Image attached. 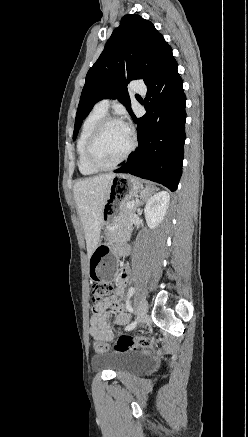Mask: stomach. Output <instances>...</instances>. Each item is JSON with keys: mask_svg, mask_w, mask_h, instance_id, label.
Masks as SVG:
<instances>
[{"mask_svg": "<svg viewBox=\"0 0 248 437\" xmlns=\"http://www.w3.org/2000/svg\"><path fill=\"white\" fill-rule=\"evenodd\" d=\"M150 195V191L143 188L141 181L129 174H119L110 183L102 213V225L104 243L99 244L91 257L86 270L89 279H93V286H112L118 264V257L114 255V234L119 223V217L124 203L133 197Z\"/></svg>", "mask_w": 248, "mask_h": 437, "instance_id": "stomach-1", "label": "stomach"}]
</instances>
